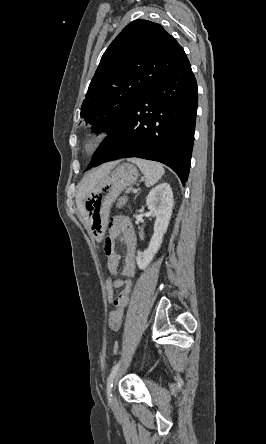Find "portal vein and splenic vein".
<instances>
[{
  "mask_svg": "<svg viewBox=\"0 0 266 444\" xmlns=\"http://www.w3.org/2000/svg\"><path fill=\"white\" fill-rule=\"evenodd\" d=\"M133 192H134V193H137V189H134Z\"/></svg>",
  "mask_w": 266,
  "mask_h": 444,
  "instance_id": "18ae733b",
  "label": "portal vein and splenic vein"
}]
</instances>
